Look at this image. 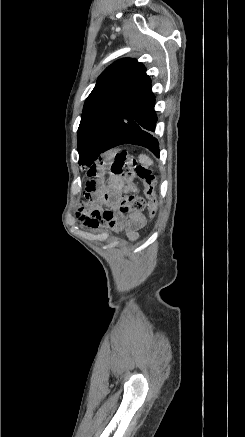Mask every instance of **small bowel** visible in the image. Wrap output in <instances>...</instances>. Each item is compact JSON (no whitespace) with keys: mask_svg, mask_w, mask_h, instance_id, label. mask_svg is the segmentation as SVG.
Segmentation results:
<instances>
[{"mask_svg":"<svg viewBox=\"0 0 245 437\" xmlns=\"http://www.w3.org/2000/svg\"><path fill=\"white\" fill-rule=\"evenodd\" d=\"M114 166L113 154H101L99 162L96 166H91L90 171L87 173L88 182L86 185V194L90 199L95 201L94 194L101 192L102 185L95 180H103L105 175ZM123 188L122 181L118 177H113L110 180V189L104 195L105 205L107 209L103 211H93L92 216H86L83 211L85 206L81 208V219L85 221V224L91 228H98L101 224L113 229L114 231L125 230L128 237L132 240L138 238V231L145 224V217L142 213L135 212L130 214L127 218L123 214L114 213L113 209L116 208L118 202V196Z\"/></svg>","mask_w":245,"mask_h":437,"instance_id":"c3829d8e","label":"small bowel"}]
</instances>
